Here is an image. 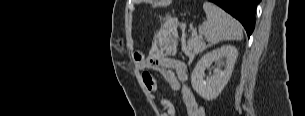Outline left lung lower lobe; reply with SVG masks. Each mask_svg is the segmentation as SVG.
Returning <instances> with one entry per match:
<instances>
[{
  "mask_svg": "<svg viewBox=\"0 0 305 116\" xmlns=\"http://www.w3.org/2000/svg\"><path fill=\"white\" fill-rule=\"evenodd\" d=\"M226 12L230 13L233 17L238 19L244 26L248 36L255 27V10L260 0H209Z\"/></svg>",
  "mask_w": 305,
  "mask_h": 116,
  "instance_id": "0a47b994",
  "label": "left lung lower lobe"
}]
</instances>
